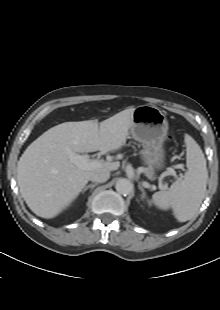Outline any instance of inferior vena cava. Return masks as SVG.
<instances>
[{"mask_svg": "<svg viewBox=\"0 0 220 310\" xmlns=\"http://www.w3.org/2000/svg\"><path fill=\"white\" fill-rule=\"evenodd\" d=\"M109 177H110L109 171H100L93 173L89 180L96 183H103L106 182L109 179Z\"/></svg>", "mask_w": 220, "mask_h": 310, "instance_id": "obj_1", "label": "inferior vena cava"}]
</instances>
